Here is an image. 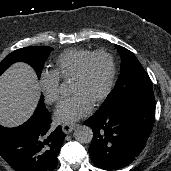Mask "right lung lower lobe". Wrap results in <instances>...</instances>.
I'll return each instance as SVG.
<instances>
[{
    "mask_svg": "<svg viewBox=\"0 0 171 171\" xmlns=\"http://www.w3.org/2000/svg\"><path fill=\"white\" fill-rule=\"evenodd\" d=\"M50 113L38 105L33 116L15 128L0 126V155L15 171H53L65 134L50 128Z\"/></svg>",
    "mask_w": 171,
    "mask_h": 171,
    "instance_id": "right-lung-lower-lobe-1",
    "label": "right lung lower lobe"
}]
</instances>
